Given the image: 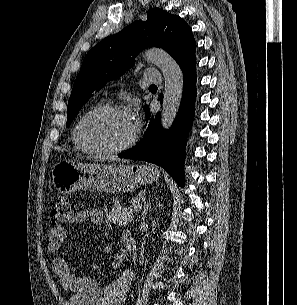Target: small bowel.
Here are the masks:
<instances>
[{"instance_id":"small-bowel-1","label":"small bowel","mask_w":297,"mask_h":305,"mask_svg":"<svg viewBox=\"0 0 297 305\" xmlns=\"http://www.w3.org/2000/svg\"><path fill=\"white\" fill-rule=\"evenodd\" d=\"M89 221L99 226L104 223V211L101 208L80 210L73 220V224ZM67 238L64 226H54L49 230L47 247L55 257L52 267L60 279L61 286L71 294L68 305H123L127 293L135 280L131 269L124 270L117 279L101 287L92 277L79 275L72 271L67 259L63 256V245ZM112 245L106 243L102 247L105 254L111 253Z\"/></svg>"}]
</instances>
